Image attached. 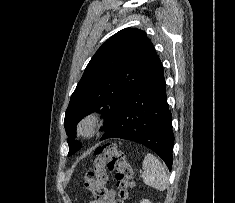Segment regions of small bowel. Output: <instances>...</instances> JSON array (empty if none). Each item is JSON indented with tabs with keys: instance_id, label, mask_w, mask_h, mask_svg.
<instances>
[{
	"instance_id": "obj_1",
	"label": "small bowel",
	"mask_w": 235,
	"mask_h": 203,
	"mask_svg": "<svg viewBox=\"0 0 235 203\" xmlns=\"http://www.w3.org/2000/svg\"><path fill=\"white\" fill-rule=\"evenodd\" d=\"M115 197H116L115 191L108 190L102 198L96 199L90 203H115Z\"/></svg>"
}]
</instances>
